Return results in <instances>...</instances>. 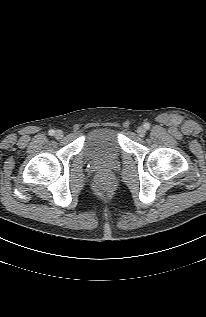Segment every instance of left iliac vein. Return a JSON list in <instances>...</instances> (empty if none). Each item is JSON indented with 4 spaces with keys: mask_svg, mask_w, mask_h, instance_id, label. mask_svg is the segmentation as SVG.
I'll return each instance as SVG.
<instances>
[{
    "mask_svg": "<svg viewBox=\"0 0 206 317\" xmlns=\"http://www.w3.org/2000/svg\"><path fill=\"white\" fill-rule=\"evenodd\" d=\"M137 134L140 136V137H144L145 134H146V129L143 127V126H140L137 128Z\"/></svg>",
    "mask_w": 206,
    "mask_h": 317,
    "instance_id": "obj_1",
    "label": "left iliac vein"
}]
</instances>
